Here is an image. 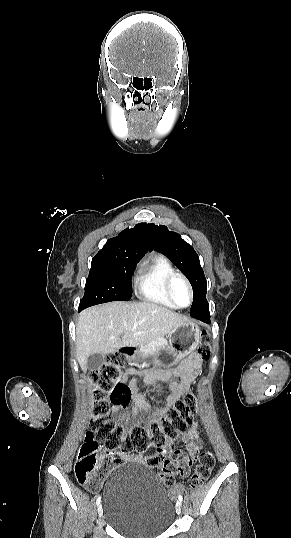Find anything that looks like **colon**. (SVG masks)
Returning a JSON list of instances; mask_svg holds the SVG:
<instances>
[{"instance_id":"obj_1","label":"colon","mask_w":291,"mask_h":538,"mask_svg":"<svg viewBox=\"0 0 291 538\" xmlns=\"http://www.w3.org/2000/svg\"><path fill=\"white\" fill-rule=\"evenodd\" d=\"M198 354L202 359H208L209 347L201 346ZM127 364L128 358L124 353H111L92 375V418L74 467L78 482L92 491L97 490L109 473L119 466L118 454H142L150 446L158 449L147 461L148 466L158 468L161 480L171 486L177 474L174 469L177 452L172 457L167 456L168 441L184 432L197 412L195 395L186 392L160 419L146 427L134 426L126 432L109 416V411L111 404L126 407L130 402L131 391L120 382ZM194 462L188 459L189 465ZM214 464V456L210 451L201 453L189 482L190 487L201 486L209 478Z\"/></svg>"}]
</instances>
